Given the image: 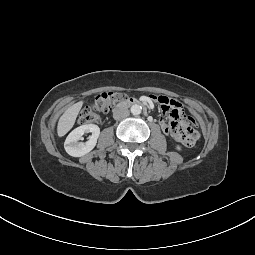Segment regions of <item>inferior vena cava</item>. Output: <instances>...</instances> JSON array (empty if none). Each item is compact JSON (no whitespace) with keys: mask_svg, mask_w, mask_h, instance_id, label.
<instances>
[{"mask_svg":"<svg viewBox=\"0 0 255 255\" xmlns=\"http://www.w3.org/2000/svg\"><path fill=\"white\" fill-rule=\"evenodd\" d=\"M129 116V110L125 107H118L113 111V118L115 120H122Z\"/></svg>","mask_w":255,"mask_h":255,"instance_id":"obj_1","label":"inferior vena cava"}]
</instances>
